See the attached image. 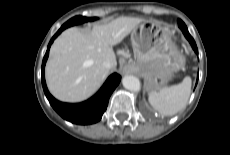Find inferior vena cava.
<instances>
[{"label":"inferior vena cava","instance_id":"inferior-vena-cava-1","mask_svg":"<svg viewBox=\"0 0 230 155\" xmlns=\"http://www.w3.org/2000/svg\"><path fill=\"white\" fill-rule=\"evenodd\" d=\"M116 65V60L115 59H107L103 62L104 68L107 70L113 68Z\"/></svg>","mask_w":230,"mask_h":155}]
</instances>
